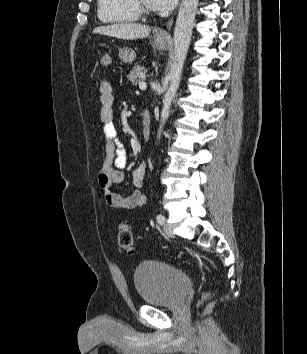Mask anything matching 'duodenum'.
I'll return each mask as SVG.
<instances>
[{
    "instance_id": "duodenum-1",
    "label": "duodenum",
    "mask_w": 307,
    "mask_h": 354,
    "mask_svg": "<svg viewBox=\"0 0 307 354\" xmlns=\"http://www.w3.org/2000/svg\"><path fill=\"white\" fill-rule=\"evenodd\" d=\"M152 115L149 110H144L142 113V123L148 126L151 123Z\"/></svg>"
}]
</instances>
